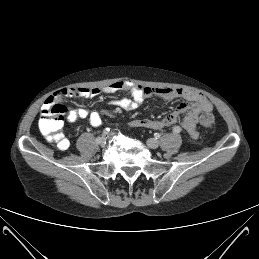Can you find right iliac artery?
Segmentation results:
<instances>
[{
    "label": "right iliac artery",
    "mask_w": 259,
    "mask_h": 259,
    "mask_svg": "<svg viewBox=\"0 0 259 259\" xmlns=\"http://www.w3.org/2000/svg\"><path fill=\"white\" fill-rule=\"evenodd\" d=\"M94 140H95L96 142H99V141L101 140V137H100L99 135H96V136L94 137Z\"/></svg>",
    "instance_id": "right-iliac-artery-1"
}]
</instances>
